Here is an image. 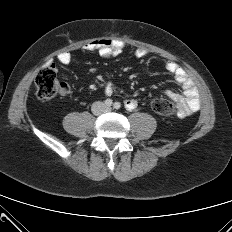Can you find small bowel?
<instances>
[{
	"mask_svg": "<svg viewBox=\"0 0 232 232\" xmlns=\"http://www.w3.org/2000/svg\"><path fill=\"white\" fill-rule=\"evenodd\" d=\"M125 44L117 39L100 38L89 43H86L82 49L86 52H98L102 56H114L122 53L125 50ZM149 55L148 50L144 48H138L135 50V56L137 58H146ZM57 60L60 65H68L72 60L70 52H61L57 56ZM166 70L173 75L175 82L182 88V93L167 90L165 94L177 104L178 115L186 116L198 111L200 107V99L198 95L197 87L189 76V74L176 62L167 60L165 62ZM68 88L63 86L62 93L66 94ZM104 92L106 95L113 93V85L111 82L104 84ZM127 110H133L137 107V101L129 98L124 102Z\"/></svg>",
	"mask_w": 232,
	"mask_h": 232,
	"instance_id": "small-bowel-1",
	"label": "small bowel"
}]
</instances>
